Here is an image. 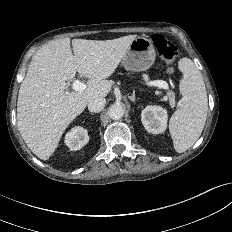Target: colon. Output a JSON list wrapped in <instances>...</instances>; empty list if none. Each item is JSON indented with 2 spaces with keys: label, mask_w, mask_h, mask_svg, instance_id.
<instances>
[{
  "label": "colon",
  "mask_w": 232,
  "mask_h": 232,
  "mask_svg": "<svg viewBox=\"0 0 232 232\" xmlns=\"http://www.w3.org/2000/svg\"><path fill=\"white\" fill-rule=\"evenodd\" d=\"M159 56L170 66V71H173V64L178 56V48L161 34L152 36Z\"/></svg>",
  "instance_id": "obj_1"
}]
</instances>
